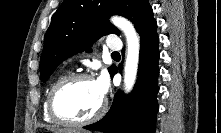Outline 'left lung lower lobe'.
Listing matches in <instances>:
<instances>
[{
    "mask_svg": "<svg viewBox=\"0 0 221 133\" xmlns=\"http://www.w3.org/2000/svg\"><path fill=\"white\" fill-rule=\"evenodd\" d=\"M156 30L157 22L153 20L139 32L141 49L138 78L131 94L125 96L123 92L118 91L105 117L94 124L84 126L85 129L104 133H155L160 58ZM121 69L120 66V72ZM117 72L118 68L114 66L110 72L111 77Z\"/></svg>",
    "mask_w": 221,
    "mask_h": 133,
    "instance_id": "0a47b994",
    "label": "left lung lower lobe"
}]
</instances>
